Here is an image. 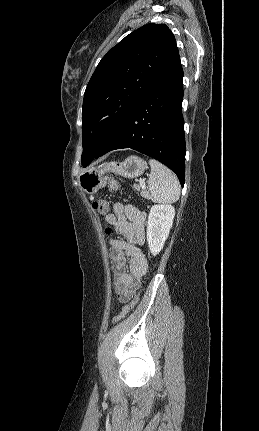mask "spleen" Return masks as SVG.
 Masks as SVG:
<instances>
[{"label": "spleen", "mask_w": 259, "mask_h": 431, "mask_svg": "<svg viewBox=\"0 0 259 431\" xmlns=\"http://www.w3.org/2000/svg\"><path fill=\"white\" fill-rule=\"evenodd\" d=\"M151 173L148 186L153 202L171 204L179 200L180 184L176 175L155 159L149 160Z\"/></svg>", "instance_id": "spleen-1"}]
</instances>
